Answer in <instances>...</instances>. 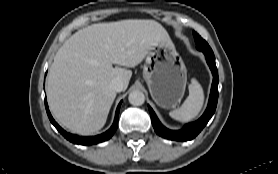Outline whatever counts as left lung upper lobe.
Listing matches in <instances>:
<instances>
[{"label": "left lung upper lobe", "instance_id": "5c2ea615", "mask_svg": "<svg viewBox=\"0 0 278 174\" xmlns=\"http://www.w3.org/2000/svg\"><path fill=\"white\" fill-rule=\"evenodd\" d=\"M193 35L196 42V48L198 50L202 51L203 53L213 54L212 49L210 48L208 43L201 38V36H199L196 32H193Z\"/></svg>", "mask_w": 278, "mask_h": 174}]
</instances>
